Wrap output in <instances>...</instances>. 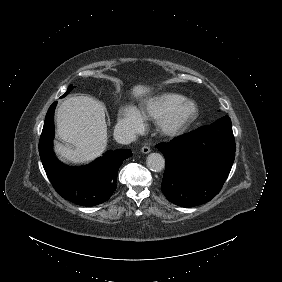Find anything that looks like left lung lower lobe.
<instances>
[{"label":"left lung lower lobe","mask_w":282,"mask_h":282,"mask_svg":"<svg viewBox=\"0 0 282 282\" xmlns=\"http://www.w3.org/2000/svg\"><path fill=\"white\" fill-rule=\"evenodd\" d=\"M156 147L166 159L161 184L166 198L181 207L204 204L219 193L234 162L231 120L224 116Z\"/></svg>","instance_id":"left-lung-lower-lobe-1"}]
</instances>
